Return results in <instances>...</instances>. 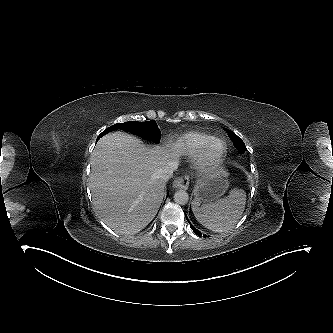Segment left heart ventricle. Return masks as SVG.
Here are the masks:
<instances>
[{"mask_svg":"<svg viewBox=\"0 0 333 333\" xmlns=\"http://www.w3.org/2000/svg\"><path fill=\"white\" fill-rule=\"evenodd\" d=\"M221 150V144L220 143H215L213 144L212 148H211V153L212 154H216Z\"/></svg>","mask_w":333,"mask_h":333,"instance_id":"b2bd125f","label":"left heart ventricle"}]
</instances>
